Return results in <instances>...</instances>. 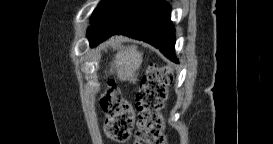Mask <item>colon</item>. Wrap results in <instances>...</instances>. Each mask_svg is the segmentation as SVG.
Wrapping results in <instances>:
<instances>
[{
    "instance_id": "1",
    "label": "colon",
    "mask_w": 273,
    "mask_h": 144,
    "mask_svg": "<svg viewBox=\"0 0 273 144\" xmlns=\"http://www.w3.org/2000/svg\"><path fill=\"white\" fill-rule=\"evenodd\" d=\"M170 79L171 73L165 68L150 69L143 77L136 95L139 110L137 144L166 143L160 111L167 98ZM100 103L106 116L104 126L106 136L118 143L128 141L134 124L131 105L121 97L118 89L112 84Z\"/></svg>"
}]
</instances>
